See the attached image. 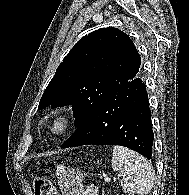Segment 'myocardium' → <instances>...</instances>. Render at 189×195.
<instances>
[{
    "instance_id": "f54148a6",
    "label": "myocardium",
    "mask_w": 189,
    "mask_h": 195,
    "mask_svg": "<svg viewBox=\"0 0 189 195\" xmlns=\"http://www.w3.org/2000/svg\"><path fill=\"white\" fill-rule=\"evenodd\" d=\"M74 122L73 115L68 111H58L49 120L48 130L54 136L66 134Z\"/></svg>"
}]
</instances>
